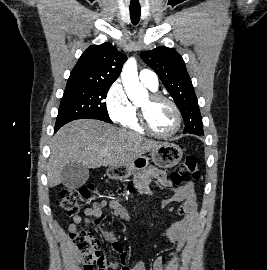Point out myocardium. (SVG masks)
Instances as JSON below:
<instances>
[{"instance_id":"myocardium-1","label":"myocardium","mask_w":267,"mask_h":270,"mask_svg":"<svg viewBox=\"0 0 267 270\" xmlns=\"http://www.w3.org/2000/svg\"><path fill=\"white\" fill-rule=\"evenodd\" d=\"M148 98H149L150 102L163 101V102L168 103L172 107V109L175 113L176 125H175L174 130L168 134H162V133L155 131L151 127V125L148 121L147 108L145 106L139 105L138 106V119H139V123H140L141 127L144 129L145 132H147L148 134H150L156 138L163 139V140L172 139L173 137H175L178 134V132L181 129L182 115H181L180 109L178 108L177 104L173 100L164 96L163 94H160L157 92H152L149 94Z\"/></svg>"}]
</instances>
